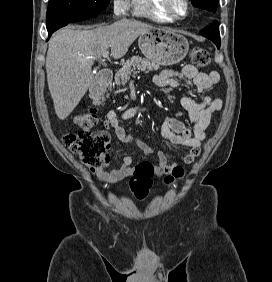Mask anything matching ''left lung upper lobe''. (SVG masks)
<instances>
[{"label": "left lung upper lobe", "mask_w": 272, "mask_h": 282, "mask_svg": "<svg viewBox=\"0 0 272 282\" xmlns=\"http://www.w3.org/2000/svg\"><path fill=\"white\" fill-rule=\"evenodd\" d=\"M192 4L198 8L205 9L210 12H216L218 0H191Z\"/></svg>", "instance_id": "obj_1"}]
</instances>
